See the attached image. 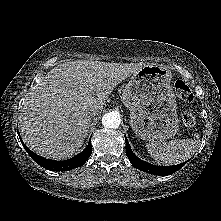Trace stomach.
Here are the masks:
<instances>
[{
  "mask_svg": "<svg viewBox=\"0 0 221 221\" xmlns=\"http://www.w3.org/2000/svg\"><path fill=\"white\" fill-rule=\"evenodd\" d=\"M171 79L168 68L145 65L132 74L123 90L122 100L130 111V125L136 136L145 141H163L179 130Z\"/></svg>",
  "mask_w": 221,
  "mask_h": 221,
  "instance_id": "stomach-1",
  "label": "stomach"
}]
</instances>
